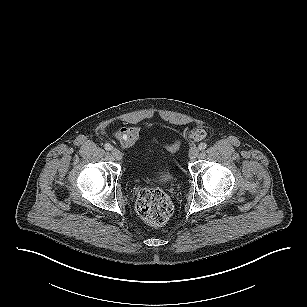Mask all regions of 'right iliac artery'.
I'll use <instances>...</instances> for the list:
<instances>
[{
  "mask_svg": "<svg viewBox=\"0 0 307 307\" xmlns=\"http://www.w3.org/2000/svg\"><path fill=\"white\" fill-rule=\"evenodd\" d=\"M104 148L106 149V150H112V145L111 144H109V143H106L105 145H104Z\"/></svg>",
  "mask_w": 307,
  "mask_h": 307,
  "instance_id": "obj_1",
  "label": "right iliac artery"
}]
</instances>
